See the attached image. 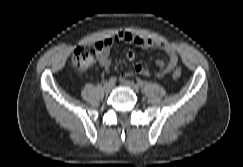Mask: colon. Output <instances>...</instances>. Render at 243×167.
<instances>
[{
	"instance_id": "5ec220e1",
	"label": "colon",
	"mask_w": 243,
	"mask_h": 167,
	"mask_svg": "<svg viewBox=\"0 0 243 167\" xmlns=\"http://www.w3.org/2000/svg\"><path fill=\"white\" fill-rule=\"evenodd\" d=\"M103 47L102 42H93L78 47L71 58L72 65L77 70H84L91 65L97 50ZM181 76L180 69L173 72V78L178 79Z\"/></svg>"
}]
</instances>
